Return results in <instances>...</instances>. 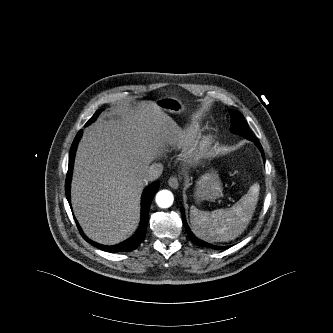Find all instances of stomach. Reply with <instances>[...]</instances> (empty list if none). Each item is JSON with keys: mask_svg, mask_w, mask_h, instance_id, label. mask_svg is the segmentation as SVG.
Segmentation results:
<instances>
[{"mask_svg": "<svg viewBox=\"0 0 333 333\" xmlns=\"http://www.w3.org/2000/svg\"><path fill=\"white\" fill-rule=\"evenodd\" d=\"M156 104L162 110L173 114H181L185 109L183 103L174 97L160 98L156 101ZM222 190L223 188L218 174L211 171L202 175L196 182L194 195L197 202L214 200L221 195Z\"/></svg>", "mask_w": 333, "mask_h": 333, "instance_id": "obj_1", "label": "stomach"}]
</instances>
